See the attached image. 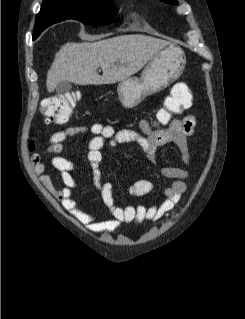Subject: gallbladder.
Masks as SVG:
<instances>
[{"label":"gallbladder","mask_w":245,"mask_h":319,"mask_svg":"<svg viewBox=\"0 0 245 319\" xmlns=\"http://www.w3.org/2000/svg\"><path fill=\"white\" fill-rule=\"evenodd\" d=\"M72 88V85L68 81L60 82L56 86V92L59 94H64L66 92H69Z\"/></svg>","instance_id":"1"}]
</instances>
